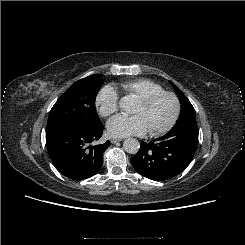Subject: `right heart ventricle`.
<instances>
[{
	"label": "right heart ventricle",
	"mask_w": 245,
	"mask_h": 245,
	"mask_svg": "<svg viewBox=\"0 0 245 245\" xmlns=\"http://www.w3.org/2000/svg\"><path fill=\"white\" fill-rule=\"evenodd\" d=\"M121 89L125 95L134 96L137 99L164 91L159 83L147 78L123 82L121 83Z\"/></svg>",
	"instance_id": "obj_1"
}]
</instances>
